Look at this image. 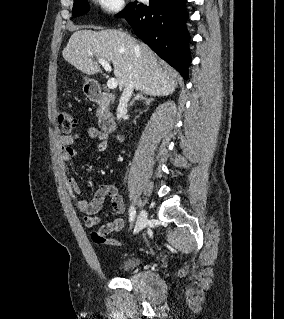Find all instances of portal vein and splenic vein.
<instances>
[{
    "instance_id": "18ae733b",
    "label": "portal vein and splenic vein",
    "mask_w": 284,
    "mask_h": 319,
    "mask_svg": "<svg viewBox=\"0 0 284 319\" xmlns=\"http://www.w3.org/2000/svg\"><path fill=\"white\" fill-rule=\"evenodd\" d=\"M98 63L102 65V67H104V69L108 72H111V66L109 64V62L105 59H97ZM118 85V81L115 78H109L108 82H107V87L109 89H115Z\"/></svg>"
}]
</instances>
